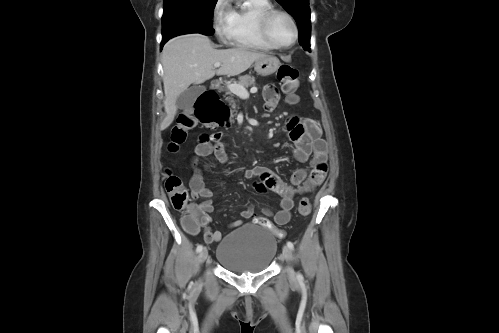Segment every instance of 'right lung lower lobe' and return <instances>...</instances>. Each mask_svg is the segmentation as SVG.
<instances>
[{
	"label": "right lung lower lobe",
	"mask_w": 499,
	"mask_h": 333,
	"mask_svg": "<svg viewBox=\"0 0 499 333\" xmlns=\"http://www.w3.org/2000/svg\"><path fill=\"white\" fill-rule=\"evenodd\" d=\"M166 41H167V40H163V39H162V42H161V49H162V47L164 46V44H165V42H166Z\"/></svg>",
	"instance_id": "right-lung-lower-lobe-1"
}]
</instances>
